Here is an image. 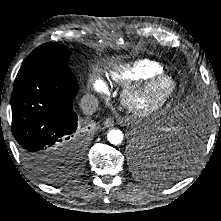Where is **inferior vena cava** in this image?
I'll return each mask as SVG.
<instances>
[{
  "label": "inferior vena cava",
  "mask_w": 221,
  "mask_h": 221,
  "mask_svg": "<svg viewBox=\"0 0 221 221\" xmlns=\"http://www.w3.org/2000/svg\"><path fill=\"white\" fill-rule=\"evenodd\" d=\"M98 99L94 95H84L80 101L82 112L86 115H92L98 108Z\"/></svg>",
  "instance_id": "602c4592"
}]
</instances>
